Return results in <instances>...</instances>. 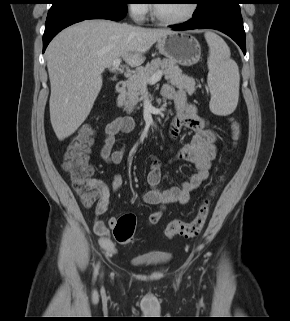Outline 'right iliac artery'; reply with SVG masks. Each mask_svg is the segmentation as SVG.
I'll list each match as a JSON object with an SVG mask.
<instances>
[{
  "label": "right iliac artery",
  "instance_id": "1",
  "mask_svg": "<svg viewBox=\"0 0 290 321\" xmlns=\"http://www.w3.org/2000/svg\"><path fill=\"white\" fill-rule=\"evenodd\" d=\"M98 268H99V265H97L96 268H95V271H94L95 276L97 275Z\"/></svg>",
  "mask_w": 290,
  "mask_h": 321
}]
</instances>
